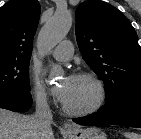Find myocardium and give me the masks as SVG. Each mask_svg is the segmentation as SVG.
<instances>
[{"mask_svg":"<svg viewBox=\"0 0 141 139\" xmlns=\"http://www.w3.org/2000/svg\"><path fill=\"white\" fill-rule=\"evenodd\" d=\"M73 77L90 80L97 89V98L92 105L80 109L71 108L63 103V110L73 116H87L99 111L104 106L107 99V89L104 82L92 72H78L74 74Z\"/></svg>","mask_w":141,"mask_h":139,"instance_id":"myocardium-1","label":"myocardium"}]
</instances>
